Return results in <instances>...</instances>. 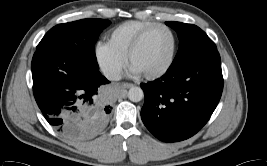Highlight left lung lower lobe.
<instances>
[{"label": "left lung lower lobe", "mask_w": 267, "mask_h": 166, "mask_svg": "<svg viewBox=\"0 0 267 166\" xmlns=\"http://www.w3.org/2000/svg\"><path fill=\"white\" fill-rule=\"evenodd\" d=\"M141 118L159 140L178 142L196 134L210 119L223 90L217 50L173 64L155 81L141 84Z\"/></svg>", "instance_id": "0a47b994"}]
</instances>
